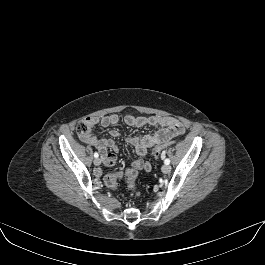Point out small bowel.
Here are the masks:
<instances>
[{
	"label": "small bowel",
	"mask_w": 265,
	"mask_h": 265,
	"mask_svg": "<svg viewBox=\"0 0 265 265\" xmlns=\"http://www.w3.org/2000/svg\"><path fill=\"white\" fill-rule=\"evenodd\" d=\"M87 121L91 127L95 125L109 127L117 124L119 117L116 114H111L102 117H91L88 118ZM125 123L135 127H144L147 125L159 127V130L154 134H148L142 137H127V142L134 147L135 152L139 156H145L153 147L169 142L172 138L181 135L184 131L182 124L178 120L165 116L146 117L127 115L125 117ZM110 136L111 138L109 139L97 138L93 134L88 137H82L84 142L94 146L101 152L106 166H113L116 162V155L114 152L118 150V146L114 139L120 137V132L113 129L110 131ZM108 149L111 151H108ZM131 167L146 172L151 170V164L143 159L133 161ZM95 174L98 177L101 176V170H97Z\"/></svg>",
	"instance_id": "1"
}]
</instances>
